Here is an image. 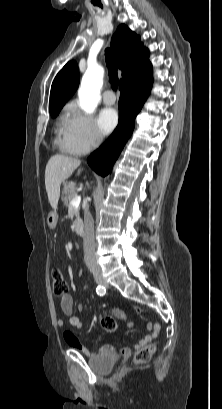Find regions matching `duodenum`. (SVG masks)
<instances>
[{
  "mask_svg": "<svg viewBox=\"0 0 222 409\" xmlns=\"http://www.w3.org/2000/svg\"><path fill=\"white\" fill-rule=\"evenodd\" d=\"M73 230L75 231L76 234L78 235H83L84 234V228L83 224L80 220H76L73 223Z\"/></svg>",
  "mask_w": 222,
  "mask_h": 409,
  "instance_id": "410a0bca",
  "label": "duodenum"
}]
</instances>
